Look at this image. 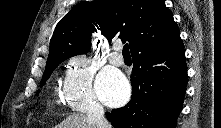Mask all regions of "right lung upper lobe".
Wrapping results in <instances>:
<instances>
[{
    "label": "right lung upper lobe",
    "mask_w": 221,
    "mask_h": 128,
    "mask_svg": "<svg viewBox=\"0 0 221 128\" xmlns=\"http://www.w3.org/2000/svg\"><path fill=\"white\" fill-rule=\"evenodd\" d=\"M97 29L109 42L125 37L132 55L168 46L180 35L164 0L83 1L57 24L47 64L87 53L91 48V34Z\"/></svg>",
    "instance_id": "1"
}]
</instances>
